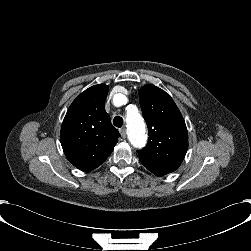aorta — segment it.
Returning a JSON list of instances; mask_svg holds the SVG:
<instances>
[{
    "label": "aorta",
    "mask_w": 251,
    "mask_h": 251,
    "mask_svg": "<svg viewBox=\"0 0 251 251\" xmlns=\"http://www.w3.org/2000/svg\"><path fill=\"white\" fill-rule=\"evenodd\" d=\"M126 132L129 140L135 147L145 145L147 135L142 117L135 111L129 110L126 117Z\"/></svg>",
    "instance_id": "1"
}]
</instances>
